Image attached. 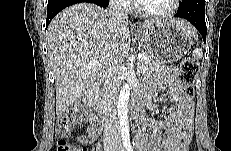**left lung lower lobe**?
Wrapping results in <instances>:
<instances>
[{"mask_svg": "<svg viewBox=\"0 0 231 151\" xmlns=\"http://www.w3.org/2000/svg\"><path fill=\"white\" fill-rule=\"evenodd\" d=\"M192 23L203 37L206 43L205 0H185L175 14Z\"/></svg>", "mask_w": 231, "mask_h": 151, "instance_id": "1", "label": "left lung lower lobe"}]
</instances>
